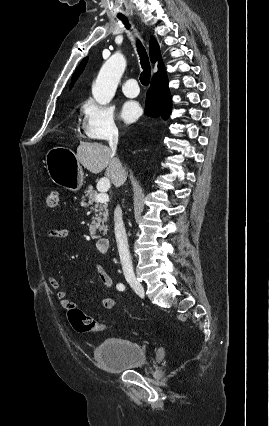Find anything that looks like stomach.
I'll use <instances>...</instances> for the list:
<instances>
[{
  "mask_svg": "<svg viewBox=\"0 0 269 426\" xmlns=\"http://www.w3.org/2000/svg\"><path fill=\"white\" fill-rule=\"evenodd\" d=\"M46 169L57 185L77 192L83 185L84 173L77 156L68 148L53 147L46 153Z\"/></svg>",
  "mask_w": 269,
  "mask_h": 426,
  "instance_id": "0dacf381",
  "label": "stomach"
}]
</instances>
